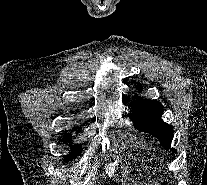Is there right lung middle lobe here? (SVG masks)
<instances>
[{"instance_id":"right-lung-middle-lobe-1","label":"right lung middle lobe","mask_w":207,"mask_h":185,"mask_svg":"<svg viewBox=\"0 0 207 185\" xmlns=\"http://www.w3.org/2000/svg\"><path fill=\"white\" fill-rule=\"evenodd\" d=\"M66 138L68 140L69 138H71V136L67 135ZM81 151L82 150L80 146L73 147L72 152L65 158V161H70V160L75 159L81 153Z\"/></svg>"}]
</instances>
